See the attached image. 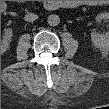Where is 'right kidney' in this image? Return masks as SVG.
Segmentation results:
<instances>
[{
  "instance_id": "obj_1",
  "label": "right kidney",
  "mask_w": 109,
  "mask_h": 109,
  "mask_svg": "<svg viewBox=\"0 0 109 109\" xmlns=\"http://www.w3.org/2000/svg\"><path fill=\"white\" fill-rule=\"evenodd\" d=\"M11 38H12V29L10 28L6 29L4 36L1 39V51L2 52H5L9 48Z\"/></svg>"
}]
</instances>
